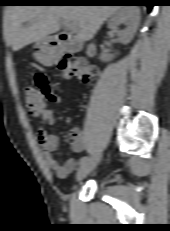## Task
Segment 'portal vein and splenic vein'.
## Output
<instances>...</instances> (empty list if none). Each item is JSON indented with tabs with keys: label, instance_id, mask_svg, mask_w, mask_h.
Masks as SVG:
<instances>
[{
	"label": "portal vein and splenic vein",
	"instance_id": "obj_1",
	"mask_svg": "<svg viewBox=\"0 0 170 231\" xmlns=\"http://www.w3.org/2000/svg\"><path fill=\"white\" fill-rule=\"evenodd\" d=\"M63 24H64V26H65L67 29H69V30H71V31H74V30H75L72 23L63 22Z\"/></svg>",
	"mask_w": 170,
	"mask_h": 231
}]
</instances>
